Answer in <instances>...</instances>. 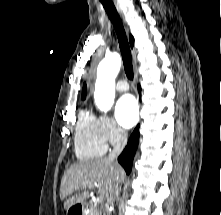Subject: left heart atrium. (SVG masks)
<instances>
[{
  "label": "left heart atrium",
  "instance_id": "39dd6f15",
  "mask_svg": "<svg viewBox=\"0 0 221 215\" xmlns=\"http://www.w3.org/2000/svg\"><path fill=\"white\" fill-rule=\"evenodd\" d=\"M118 123L124 128L133 127L138 121L139 111L136 100L131 95L121 97L115 107Z\"/></svg>",
  "mask_w": 221,
  "mask_h": 215
}]
</instances>
